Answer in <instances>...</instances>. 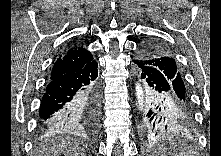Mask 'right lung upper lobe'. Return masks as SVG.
Listing matches in <instances>:
<instances>
[{
	"mask_svg": "<svg viewBox=\"0 0 221 156\" xmlns=\"http://www.w3.org/2000/svg\"><path fill=\"white\" fill-rule=\"evenodd\" d=\"M91 61H93L92 54L83 47L69 48L66 53L63 52L56 60L50 79L80 70Z\"/></svg>",
	"mask_w": 221,
	"mask_h": 156,
	"instance_id": "right-lung-upper-lobe-1",
	"label": "right lung upper lobe"
}]
</instances>
